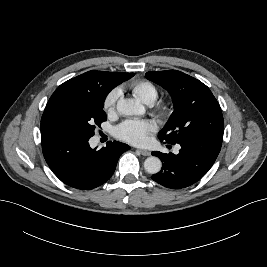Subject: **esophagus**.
I'll return each instance as SVG.
<instances>
[{"label": "esophagus", "instance_id": "1", "mask_svg": "<svg viewBox=\"0 0 267 267\" xmlns=\"http://www.w3.org/2000/svg\"><path fill=\"white\" fill-rule=\"evenodd\" d=\"M137 151H139L143 156H150L151 153L148 150H144V149H138Z\"/></svg>", "mask_w": 267, "mask_h": 267}]
</instances>
